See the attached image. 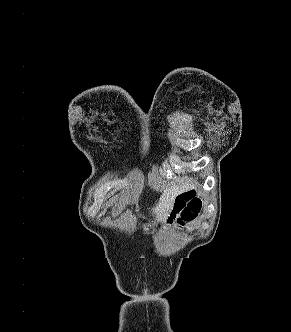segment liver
<instances>
[{"mask_svg": "<svg viewBox=\"0 0 291 332\" xmlns=\"http://www.w3.org/2000/svg\"><path fill=\"white\" fill-rule=\"evenodd\" d=\"M193 186L194 182L192 179L184 178L179 185L174 184L166 188L160 197L159 203L153 208L157 222L164 221L172 210L176 197Z\"/></svg>", "mask_w": 291, "mask_h": 332, "instance_id": "6515ba94", "label": "liver"}]
</instances>
